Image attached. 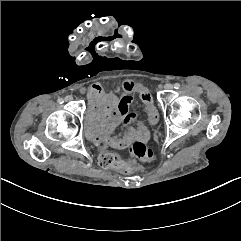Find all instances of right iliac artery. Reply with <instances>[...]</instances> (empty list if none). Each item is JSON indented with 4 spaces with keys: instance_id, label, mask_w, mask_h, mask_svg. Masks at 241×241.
Here are the masks:
<instances>
[{
    "instance_id": "82829eb1",
    "label": "right iliac artery",
    "mask_w": 241,
    "mask_h": 241,
    "mask_svg": "<svg viewBox=\"0 0 241 241\" xmlns=\"http://www.w3.org/2000/svg\"><path fill=\"white\" fill-rule=\"evenodd\" d=\"M57 102H58L59 104H62V103L64 102V100H63L62 98H59V99L57 100Z\"/></svg>"
}]
</instances>
